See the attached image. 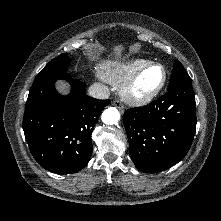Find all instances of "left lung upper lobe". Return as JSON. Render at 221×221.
Here are the masks:
<instances>
[{"label":"left lung upper lobe","instance_id":"left-lung-upper-lobe-1","mask_svg":"<svg viewBox=\"0 0 221 221\" xmlns=\"http://www.w3.org/2000/svg\"><path fill=\"white\" fill-rule=\"evenodd\" d=\"M184 81H192V80L189 77L186 70L184 69L183 65L178 60H176L173 65V70L170 76L168 89H171L176 84Z\"/></svg>","mask_w":221,"mask_h":221}]
</instances>
